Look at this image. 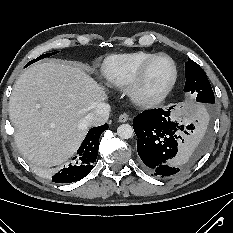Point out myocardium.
Listing matches in <instances>:
<instances>
[{
	"label": "myocardium",
	"instance_id": "f54148a6",
	"mask_svg": "<svg viewBox=\"0 0 233 233\" xmlns=\"http://www.w3.org/2000/svg\"><path fill=\"white\" fill-rule=\"evenodd\" d=\"M168 59L172 65V75L166 84L154 93H145L143 84L149 69L160 59ZM178 77V70L175 61L167 54H157L146 61L136 72L127 87V93L131 101L142 107H151L162 102L174 87Z\"/></svg>",
	"mask_w": 233,
	"mask_h": 233
}]
</instances>
